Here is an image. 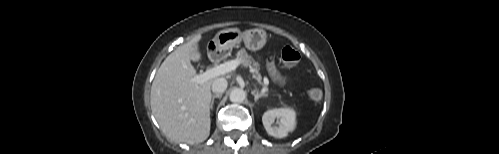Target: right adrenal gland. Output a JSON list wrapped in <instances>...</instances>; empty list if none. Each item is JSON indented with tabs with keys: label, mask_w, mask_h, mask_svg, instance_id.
<instances>
[{
	"label": "right adrenal gland",
	"mask_w": 499,
	"mask_h": 154,
	"mask_svg": "<svg viewBox=\"0 0 499 154\" xmlns=\"http://www.w3.org/2000/svg\"><path fill=\"white\" fill-rule=\"evenodd\" d=\"M221 97H222V95H221V94H216V95H213V96H212L211 103H210V108H211V110L213 109V105H214V100H215V98H221Z\"/></svg>",
	"instance_id": "right-adrenal-gland-1"
}]
</instances>
